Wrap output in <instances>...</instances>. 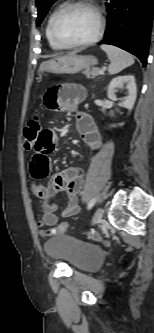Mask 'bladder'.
Wrapping results in <instances>:
<instances>
[{
    "label": "bladder",
    "mask_w": 154,
    "mask_h": 333,
    "mask_svg": "<svg viewBox=\"0 0 154 333\" xmlns=\"http://www.w3.org/2000/svg\"><path fill=\"white\" fill-rule=\"evenodd\" d=\"M44 250L52 259L64 262L74 270L86 272L97 270L104 255L100 247L81 242L66 234L47 239Z\"/></svg>",
    "instance_id": "1"
}]
</instances>
